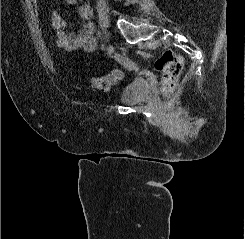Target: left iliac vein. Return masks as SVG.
<instances>
[{
  "mask_svg": "<svg viewBox=\"0 0 245 239\" xmlns=\"http://www.w3.org/2000/svg\"><path fill=\"white\" fill-rule=\"evenodd\" d=\"M107 53H108V55H110V56L114 53V46H113L112 44H109V45L107 46Z\"/></svg>",
  "mask_w": 245,
  "mask_h": 239,
  "instance_id": "obj_1",
  "label": "left iliac vein"
}]
</instances>
